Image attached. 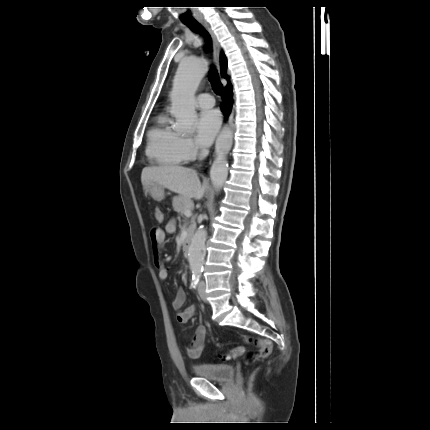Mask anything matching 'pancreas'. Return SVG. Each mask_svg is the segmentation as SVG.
<instances>
[{"label":"pancreas","mask_w":430,"mask_h":430,"mask_svg":"<svg viewBox=\"0 0 430 430\" xmlns=\"http://www.w3.org/2000/svg\"><path fill=\"white\" fill-rule=\"evenodd\" d=\"M172 205L175 211H177L181 216L184 215L185 210L193 209V203L191 200L185 199L182 196H176L173 198ZM195 225V218L191 219L190 229Z\"/></svg>","instance_id":"obj_1"}]
</instances>
